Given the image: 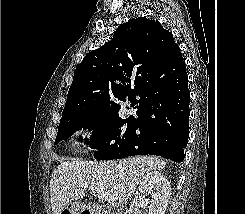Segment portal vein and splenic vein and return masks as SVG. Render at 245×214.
I'll list each match as a JSON object with an SVG mask.
<instances>
[{"label": "portal vein and splenic vein", "mask_w": 245, "mask_h": 214, "mask_svg": "<svg viewBox=\"0 0 245 214\" xmlns=\"http://www.w3.org/2000/svg\"><path fill=\"white\" fill-rule=\"evenodd\" d=\"M81 187H83L84 189L88 188V185L86 184H80ZM97 197L101 200H104L108 203H113L114 201H116V197L115 195H111V194H101V193H97Z\"/></svg>", "instance_id": "18ae733b"}]
</instances>
